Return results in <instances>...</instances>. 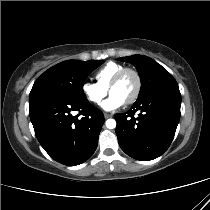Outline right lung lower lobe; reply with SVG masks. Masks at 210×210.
Listing matches in <instances>:
<instances>
[{
  "label": "right lung lower lobe",
  "mask_w": 210,
  "mask_h": 210,
  "mask_svg": "<svg viewBox=\"0 0 210 210\" xmlns=\"http://www.w3.org/2000/svg\"><path fill=\"white\" fill-rule=\"evenodd\" d=\"M72 111H80L83 117L72 116ZM29 114L38 141L54 160L75 166L95 152L104 115L87 99L36 98L29 101Z\"/></svg>",
  "instance_id": "obj_1"
}]
</instances>
